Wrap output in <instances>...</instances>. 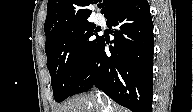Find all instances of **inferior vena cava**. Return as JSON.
Returning <instances> with one entry per match:
<instances>
[{
    "label": "inferior vena cava",
    "instance_id": "obj_1",
    "mask_svg": "<svg viewBox=\"0 0 193 112\" xmlns=\"http://www.w3.org/2000/svg\"><path fill=\"white\" fill-rule=\"evenodd\" d=\"M98 99H99V101H100L102 104H104L103 101H102L103 96H101L100 94H98Z\"/></svg>",
    "mask_w": 193,
    "mask_h": 112
}]
</instances>
